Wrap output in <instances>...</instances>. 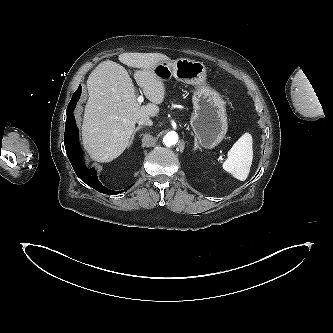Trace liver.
<instances>
[{
    "label": "liver",
    "instance_id": "obj_1",
    "mask_svg": "<svg viewBox=\"0 0 333 333\" xmlns=\"http://www.w3.org/2000/svg\"><path fill=\"white\" fill-rule=\"evenodd\" d=\"M121 63L138 68L134 79L151 102L141 106L126 69L106 60L92 71L87 80L89 99L82 125L83 145L92 159L110 162L128 147L136 122L159 113L165 98V86L152 71L161 61L170 60L161 53H123Z\"/></svg>",
    "mask_w": 333,
    "mask_h": 333
}]
</instances>
